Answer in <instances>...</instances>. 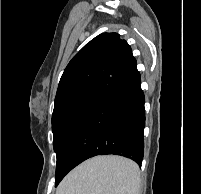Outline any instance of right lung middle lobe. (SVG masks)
I'll use <instances>...</instances> for the list:
<instances>
[{"instance_id":"1","label":"right lung middle lobe","mask_w":201,"mask_h":194,"mask_svg":"<svg viewBox=\"0 0 201 194\" xmlns=\"http://www.w3.org/2000/svg\"><path fill=\"white\" fill-rule=\"evenodd\" d=\"M96 96H84L68 100L56 107L52 114L53 146L56 152L61 137L70 121Z\"/></svg>"}]
</instances>
